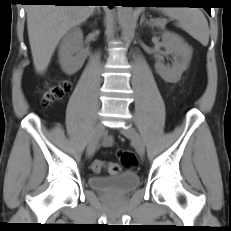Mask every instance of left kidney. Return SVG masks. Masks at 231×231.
Here are the masks:
<instances>
[{"instance_id":"left-kidney-1","label":"left kidney","mask_w":231,"mask_h":231,"mask_svg":"<svg viewBox=\"0 0 231 231\" xmlns=\"http://www.w3.org/2000/svg\"><path fill=\"white\" fill-rule=\"evenodd\" d=\"M162 44L167 54L172 55V66H165L163 60L155 63V69L162 79L168 83H177L182 73L188 68L192 57V48L177 34L164 32Z\"/></svg>"}]
</instances>
